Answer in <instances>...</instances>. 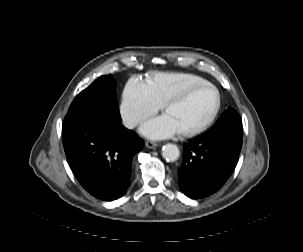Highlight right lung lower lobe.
<instances>
[{"mask_svg": "<svg viewBox=\"0 0 303 252\" xmlns=\"http://www.w3.org/2000/svg\"><path fill=\"white\" fill-rule=\"evenodd\" d=\"M63 145L82 186L96 198L111 201L126 193L132 158L144 142L122 126L120 114L92 108L66 116Z\"/></svg>", "mask_w": 303, "mask_h": 252, "instance_id": "obj_1", "label": "right lung lower lobe"}]
</instances>
